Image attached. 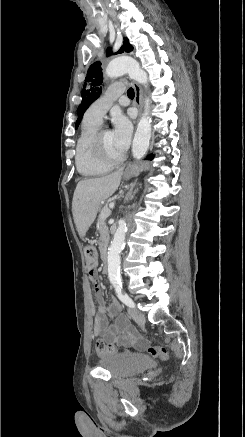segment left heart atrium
Listing matches in <instances>:
<instances>
[{
    "label": "left heart atrium",
    "instance_id": "1",
    "mask_svg": "<svg viewBox=\"0 0 245 437\" xmlns=\"http://www.w3.org/2000/svg\"><path fill=\"white\" fill-rule=\"evenodd\" d=\"M113 129L111 131L116 148L122 152L127 150L132 135L130 120L122 113H116L112 118Z\"/></svg>",
    "mask_w": 245,
    "mask_h": 437
}]
</instances>
